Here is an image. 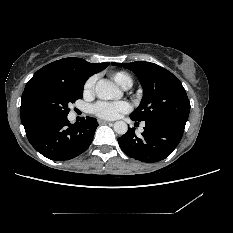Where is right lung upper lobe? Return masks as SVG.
<instances>
[{
    "mask_svg": "<svg viewBox=\"0 0 233 233\" xmlns=\"http://www.w3.org/2000/svg\"><path fill=\"white\" fill-rule=\"evenodd\" d=\"M109 64V62L88 63L84 59L70 57L54 61L38 70L26 84L22 94L20 115L25 131L41 123L30 106L38 88L55 83L85 84L90 76L104 70Z\"/></svg>",
    "mask_w": 233,
    "mask_h": 233,
    "instance_id": "obj_1",
    "label": "right lung upper lobe"
}]
</instances>
